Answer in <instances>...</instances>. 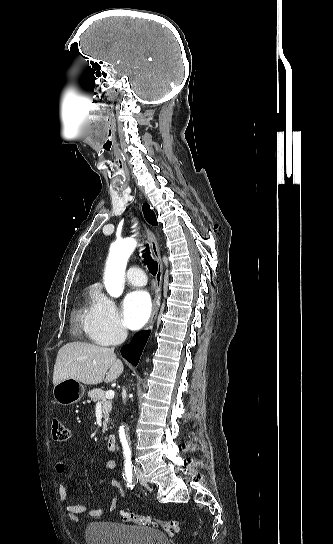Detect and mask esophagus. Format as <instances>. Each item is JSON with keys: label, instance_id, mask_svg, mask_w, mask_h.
<instances>
[{"label": "esophagus", "instance_id": "34e87169", "mask_svg": "<svg viewBox=\"0 0 333 544\" xmlns=\"http://www.w3.org/2000/svg\"><path fill=\"white\" fill-rule=\"evenodd\" d=\"M145 230L147 233L148 240L150 242L152 255L158 263V269H157V273H156V277L154 281L155 293H154V300H153V308H152L151 317L145 328L147 330L153 325L158 313L159 297H160L162 277H163V263H162L160 249H159V245H158V241H157L155 233L147 225H145Z\"/></svg>", "mask_w": 333, "mask_h": 544}]
</instances>
